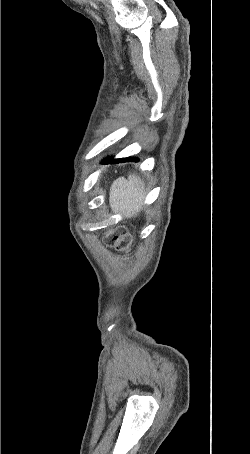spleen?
I'll use <instances>...</instances> for the list:
<instances>
[{"label": "spleen", "mask_w": 250, "mask_h": 454, "mask_svg": "<svg viewBox=\"0 0 250 454\" xmlns=\"http://www.w3.org/2000/svg\"><path fill=\"white\" fill-rule=\"evenodd\" d=\"M144 184L135 175L128 179H116L110 189V206L114 213L132 217L140 210V203L145 196Z\"/></svg>", "instance_id": "3e777b00"}]
</instances>
